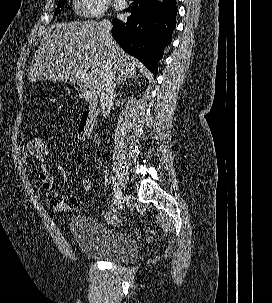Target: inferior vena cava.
Segmentation results:
<instances>
[{
  "mask_svg": "<svg viewBox=\"0 0 272 303\" xmlns=\"http://www.w3.org/2000/svg\"><path fill=\"white\" fill-rule=\"evenodd\" d=\"M103 27L107 46L112 43L113 39L111 36L112 23L109 20H103L101 23ZM115 86H116V70L113 66L112 60L107 58L104 63V73L101 77V88H100V105L102 109L103 117L109 116L111 107L113 106L115 97Z\"/></svg>",
  "mask_w": 272,
  "mask_h": 303,
  "instance_id": "obj_1",
  "label": "inferior vena cava"
}]
</instances>
